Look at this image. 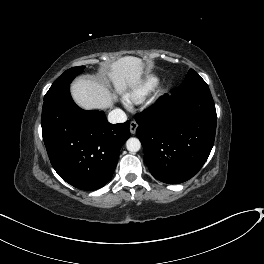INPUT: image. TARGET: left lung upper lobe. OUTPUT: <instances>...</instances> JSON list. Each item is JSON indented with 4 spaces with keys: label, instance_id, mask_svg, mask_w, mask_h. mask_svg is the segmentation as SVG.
<instances>
[{
    "label": "left lung upper lobe",
    "instance_id": "obj_1",
    "mask_svg": "<svg viewBox=\"0 0 264 264\" xmlns=\"http://www.w3.org/2000/svg\"><path fill=\"white\" fill-rule=\"evenodd\" d=\"M192 84H206V83L193 69H190L188 71V74L186 75L185 80L180 86H186Z\"/></svg>",
    "mask_w": 264,
    "mask_h": 264
}]
</instances>
